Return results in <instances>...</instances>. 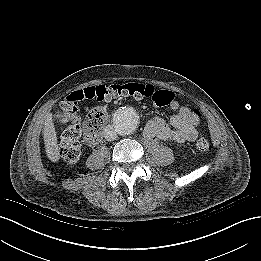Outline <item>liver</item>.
Instances as JSON below:
<instances>
[{
	"mask_svg": "<svg viewBox=\"0 0 261 261\" xmlns=\"http://www.w3.org/2000/svg\"><path fill=\"white\" fill-rule=\"evenodd\" d=\"M43 138L48 159L51 162H58L60 156L57 145V133L52 121L51 114H49L45 120L43 127Z\"/></svg>",
	"mask_w": 261,
	"mask_h": 261,
	"instance_id": "obj_1",
	"label": "liver"
}]
</instances>
